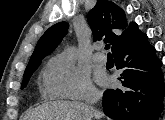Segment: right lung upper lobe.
Masks as SVG:
<instances>
[{"label":"right lung upper lobe","mask_w":165,"mask_h":120,"mask_svg":"<svg viewBox=\"0 0 165 120\" xmlns=\"http://www.w3.org/2000/svg\"><path fill=\"white\" fill-rule=\"evenodd\" d=\"M88 24L92 29L93 40L104 39L109 42L113 54L142 34L137 24L131 22L128 25L123 10L108 0L97 1L88 14ZM68 27L66 22H59L50 27L38 41L28 66L53 52L67 33Z\"/></svg>","instance_id":"obj_1"}]
</instances>
